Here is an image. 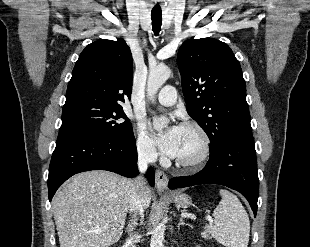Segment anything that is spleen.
<instances>
[{
  "mask_svg": "<svg viewBox=\"0 0 310 247\" xmlns=\"http://www.w3.org/2000/svg\"><path fill=\"white\" fill-rule=\"evenodd\" d=\"M222 197L213 212L215 224L208 226L213 238L226 247H247L250 221L240 200L228 190L221 189Z\"/></svg>",
  "mask_w": 310,
  "mask_h": 247,
  "instance_id": "obj_1",
  "label": "spleen"
}]
</instances>
